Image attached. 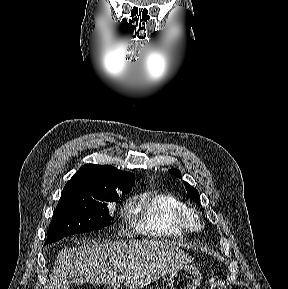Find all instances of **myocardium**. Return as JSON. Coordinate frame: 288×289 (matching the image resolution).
I'll return each mask as SVG.
<instances>
[{
	"label": "myocardium",
	"instance_id": "f54148a6",
	"mask_svg": "<svg viewBox=\"0 0 288 289\" xmlns=\"http://www.w3.org/2000/svg\"><path fill=\"white\" fill-rule=\"evenodd\" d=\"M184 219L190 230H200L204 226L200 212L194 208L189 207L185 211Z\"/></svg>",
	"mask_w": 288,
	"mask_h": 289
}]
</instances>
